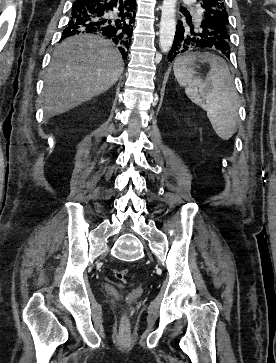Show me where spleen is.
<instances>
[{
  "label": "spleen",
  "mask_w": 276,
  "mask_h": 363,
  "mask_svg": "<svg viewBox=\"0 0 276 363\" xmlns=\"http://www.w3.org/2000/svg\"><path fill=\"white\" fill-rule=\"evenodd\" d=\"M198 59L210 65L205 79L194 77L192 65ZM173 71L187 97L206 111L216 134L229 140L237 131L239 102L226 61L208 52L189 53L176 59Z\"/></svg>",
  "instance_id": "obj_1"
}]
</instances>
